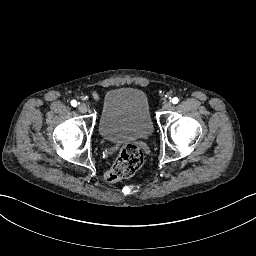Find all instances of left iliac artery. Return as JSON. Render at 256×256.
<instances>
[{"label":"left iliac artery","mask_w":256,"mask_h":256,"mask_svg":"<svg viewBox=\"0 0 256 256\" xmlns=\"http://www.w3.org/2000/svg\"><path fill=\"white\" fill-rule=\"evenodd\" d=\"M178 101H179V99H178L177 97H174V98L172 99V103H173V104H177Z\"/></svg>","instance_id":"left-iliac-artery-1"}]
</instances>
